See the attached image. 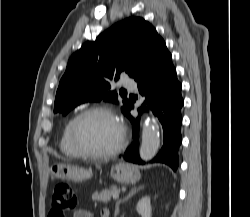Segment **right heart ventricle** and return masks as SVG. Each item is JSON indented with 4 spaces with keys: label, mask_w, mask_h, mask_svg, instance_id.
Segmentation results:
<instances>
[{
    "label": "right heart ventricle",
    "mask_w": 250,
    "mask_h": 217,
    "mask_svg": "<svg viewBox=\"0 0 250 217\" xmlns=\"http://www.w3.org/2000/svg\"><path fill=\"white\" fill-rule=\"evenodd\" d=\"M70 123H71V119L65 123L62 129V133H61V137L59 141V147H60L61 152L65 156L72 158V159H78V158H81L82 156L78 153V151L74 148V146L72 145L70 141V137H69Z\"/></svg>",
    "instance_id": "1"
}]
</instances>
